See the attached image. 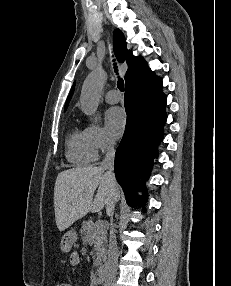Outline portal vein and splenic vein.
I'll return each mask as SVG.
<instances>
[{
  "label": "portal vein and splenic vein",
  "mask_w": 231,
  "mask_h": 286,
  "mask_svg": "<svg viewBox=\"0 0 231 286\" xmlns=\"http://www.w3.org/2000/svg\"><path fill=\"white\" fill-rule=\"evenodd\" d=\"M95 225L98 228L103 227L104 226V221L99 219L98 221H96Z\"/></svg>",
  "instance_id": "portal-vein-and-splenic-vein-1"
}]
</instances>
